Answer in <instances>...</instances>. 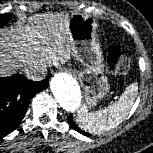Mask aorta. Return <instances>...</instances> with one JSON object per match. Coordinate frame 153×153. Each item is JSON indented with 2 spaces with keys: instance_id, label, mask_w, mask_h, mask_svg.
I'll return each mask as SVG.
<instances>
[{
  "instance_id": "obj_1",
  "label": "aorta",
  "mask_w": 153,
  "mask_h": 153,
  "mask_svg": "<svg viewBox=\"0 0 153 153\" xmlns=\"http://www.w3.org/2000/svg\"><path fill=\"white\" fill-rule=\"evenodd\" d=\"M50 85L57 102L65 111L73 112L79 107L81 91L72 76L65 73L57 74Z\"/></svg>"
}]
</instances>
